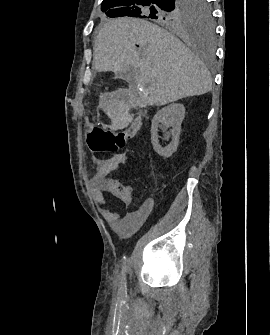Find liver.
<instances>
[{
	"mask_svg": "<svg viewBox=\"0 0 270 335\" xmlns=\"http://www.w3.org/2000/svg\"><path fill=\"white\" fill-rule=\"evenodd\" d=\"M139 46V48H137ZM97 72L133 68L143 106H165L211 90L210 74L176 36L140 18H116L102 24L94 42Z\"/></svg>",
	"mask_w": 270,
	"mask_h": 335,
	"instance_id": "6515ba94",
	"label": "liver"
}]
</instances>
